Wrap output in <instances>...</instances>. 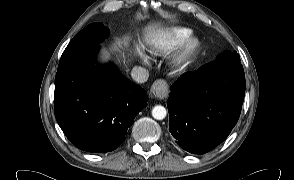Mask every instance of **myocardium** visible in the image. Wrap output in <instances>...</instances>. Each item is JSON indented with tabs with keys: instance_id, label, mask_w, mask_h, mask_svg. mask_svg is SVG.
<instances>
[{
	"instance_id": "obj_1",
	"label": "myocardium",
	"mask_w": 294,
	"mask_h": 180,
	"mask_svg": "<svg viewBox=\"0 0 294 180\" xmlns=\"http://www.w3.org/2000/svg\"><path fill=\"white\" fill-rule=\"evenodd\" d=\"M200 47V42L196 37H187L178 48L172 53L169 64L174 71L184 70Z\"/></svg>"
}]
</instances>
